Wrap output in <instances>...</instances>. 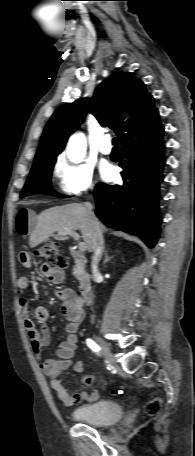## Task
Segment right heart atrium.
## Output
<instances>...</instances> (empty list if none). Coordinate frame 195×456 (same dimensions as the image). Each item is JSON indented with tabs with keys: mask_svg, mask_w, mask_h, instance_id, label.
Segmentation results:
<instances>
[{
	"mask_svg": "<svg viewBox=\"0 0 195 456\" xmlns=\"http://www.w3.org/2000/svg\"><path fill=\"white\" fill-rule=\"evenodd\" d=\"M54 174L59 191L65 196H79L93 187V170L86 164L71 163L61 157L55 164Z\"/></svg>",
	"mask_w": 195,
	"mask_h": 456,
	"instance_id": "obj_1",
	"label": "right heart atrium"
}]
</instances>
